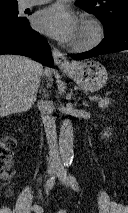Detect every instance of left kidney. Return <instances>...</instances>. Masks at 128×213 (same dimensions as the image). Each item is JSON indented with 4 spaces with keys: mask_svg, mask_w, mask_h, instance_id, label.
<instances>
[{
    "mask_svg": "<svg viewBox=\"0 0 128 213\" xmlns=\"http://www.w3.org/2000/svg\"><path fill=\"white\" fill-rule=\"evenodd\" d=\"M109 135H110L109 128H107V130L104 131V133L102 134V137H103V138L109 137Z\"/></svg>",
    "mask_w": 128,
    "mask_h": 213,
    "instance_id": "1",
    "label": "left kidney"
}]
</instances>
